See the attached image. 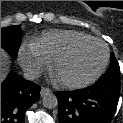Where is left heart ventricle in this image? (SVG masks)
Instances as JSON below:
<instances>
[{
  "label": "left heart ventricle",
  "mask_w": 123,
  "mask_h": 123,
  "mask_svg": "<svg viewBox=\"0 0 123 123\" xmlns=\"http://www.w3.org/2000/svg\"><path fill=\"white\" fill-rule=\"evenodd\" d=\"M104 56L105 50L101 44H86L59 65L57 76L66 81L85 80L99 69Z\"/></svg>",
  "instance_id": "obj_1"
}]
</instances>
